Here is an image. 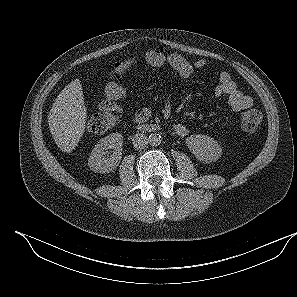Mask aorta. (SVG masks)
Returning a JSON list of instances; mask_svg holds the SVG:
<instances>
[{"label":"aorta","instance_id":"aorta-1","mask_svg":"<svg viewBox=\"0 0 297 297\" xmlns=\"http://www.w3.org/2000/svg\"><path fill=\"white\" fill-rule=\"evenodd\" d=\"M161 142H162V137L158 133H151L148 137V143L151 146H158L161 144Z\"/></svg>","mask_w":297,"mask_h":297}]
</instances>
